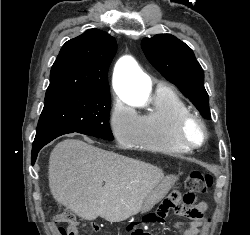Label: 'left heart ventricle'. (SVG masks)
Returning a JSON list of instances; mask_svg holds the SVG:
<instances>
[{
  "instance_id": "obj_1",
  "label": "left heart ventricle",
  "mask_w": 250,
  "mask_h": 235,
  "mask_svg": "<svg viewBox=\"0 0 250 235\" xmlns=\"http://www.w3.org/2000/svg\"><path fill=\"white\" fill-rule=\"evenodd\" d=\"M186 136L191 143L200 141L202 132L196 123H191L186 129Z\"/></svg>"
}]
</instances>
